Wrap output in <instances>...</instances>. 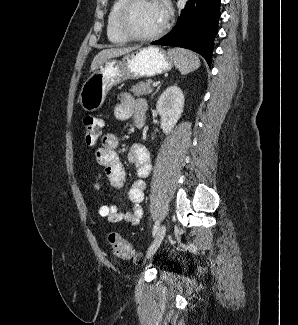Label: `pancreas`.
Masks as SVG:
<instances>
[{
    "mask_svg": "<svg viewBox=\"0 0 298 325\" xmlns=\"http://www.w3.org/2000/svg\"><path fill=\"white\" fill-rule=\"evenodd\" d=\"M152 82L153 78H147V80H140L131 86L130 90L133 92L134 96H145V94H150L153 90Z\"/></svg>",
    "mask_w": 298,
    "mask_h": 325,
    "instance_id": "obj_1",
    "label": "pancreas"
}]
</instances>
